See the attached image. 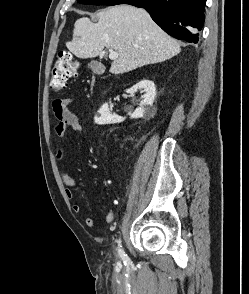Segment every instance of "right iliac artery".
<instances>
[{
	"label": "right iliac artery",
	"instance_id": "right-iliac-artery-1",
	"mask_svg": "<svg viewBox=\"0 0 249 294\" xmlns=\"http://www.w3.org/2000/svg\"><path fill=\"white\" fill-rule=\"evenodd\" d=\"M118 254L119 256L121 257V259L124 261V262H127L129 261V258L128 256L125 254L123 248H122V244H121V240L119 239L118 241Z\"/></svg>",
	"mask_w": 249,
	"mask_h": 294
}]
</instances>
